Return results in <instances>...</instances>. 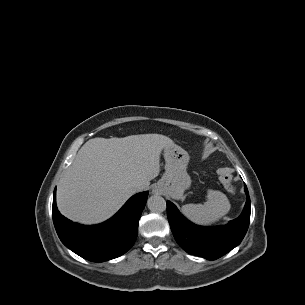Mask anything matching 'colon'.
<instances>
[{
    "mask_svg": "<svg viewBox=\"0 0 305 305\" xmlns=\"http://www.w3.org/2000/svg\"><path fill=\"white\" fill-rule=\"evenodd\" d=\"M220 184L223 186V188L228 191L229 193L235 192V186L233 183V176L229 169H222L219 172L218 176Z\"/></svg>",
    "mask_w": 305,
    "mask_h": 305,
    "instance_id": "1",
    "label": "colon"
}]
</instances>
